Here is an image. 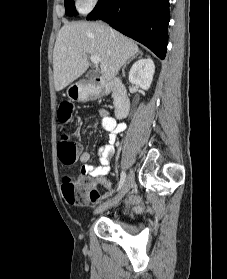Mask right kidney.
I'll return each instance as SVG.
<instances>
[{"label": "right kidney", "instance_id": "1", "mask_svg": "<svg viewBox=\"0 0 227 279\" xmlns=\"http://www.w3.org/2000/svg\"><path fill=\"white\" fill-rule=\"evenodd\" d=\"M154 72L155 65L150 57L140 59L132 65L129 72V81L144 90H148L151 86Z\"/></svg>", "mask_w": 227, "mask_h": 279}]
</instances>
